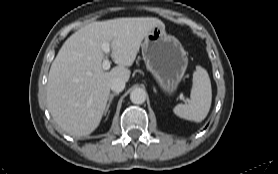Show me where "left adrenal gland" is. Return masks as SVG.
Wrapping results in <instances>:
<instances>
[{
	"label": "left adrenal gland",
	"instance_id": "obj_1",
	"mask_svg": "<svg viewBox=\"0 0 278 174\" xmlns=\"http://www.w3.org/2000/svg\"><path fill=\"white\" fill-rule=\"evenodd\" d=\"M153 90H154V92H156V89H155V87H153Z\"/></svg>",
	"mask_w": 278,
	"mask_h": 174
}]
</instances>
